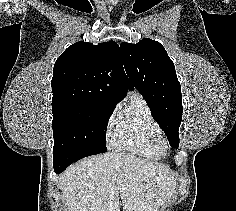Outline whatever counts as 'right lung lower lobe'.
<instances>
[{
	"label": "right lung lower lobe",
	"instance_id": "1",
	"mask_svg": "<svg viewBox=\"0 0 236 211\" xmlns=\"http://www.w3.org/2000/svg\"><path fill=\"white\" fill-rule=\"evenodd\" d=\"M94 154H99V152L88 149H71L61 152H54V171L56 174H60L73 162Z\"/></svg>",
	"mask_w": 236,
	"mask_h": 211
}]
</instances>
